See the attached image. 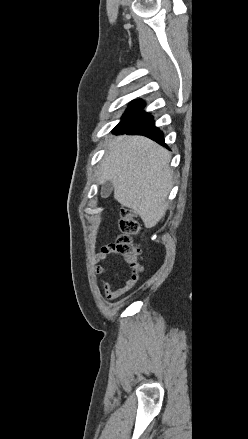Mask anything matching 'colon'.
<instances>
[{
    "label": "colon",
    "instance_id": "1",
    "mask_svg": "<svg viewBox=\"0 0 248 439\" xmlns=\"http://www.w3.org/2000/svg\"><path fill=\"white\" fill-rule=\"evenodd\" d=\"M120 227L122 234L115 244L117 252L124 257L130 267L135 268L139 273L141 271V265L138 257L140 256L141 251L131 238V235L136 234L139 231V224L135 219V213L132 209L122 207Z\"/></svg>",
    "mask_w": 248,
    "mask_h": 439
}]
</instances>
